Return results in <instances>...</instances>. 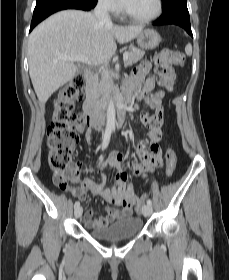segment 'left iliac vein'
Masks as SVG:
<instances>
[{
  "instance_id": "obj_1",
  "label": "left iliac vein",
  "mask_w": 229,
  "mask_h": 280,
  "mask_svg": "<svg viewBox=\"0 0 229 280\" xmlns=\"http://www.w3.org/2000/svg\"><path fill=\"white\" fill-rule=\"evenodd\" d=\"M152 213V206L151 205H144L143 208H142V214L145 216V217H148L150 216Z\"/></svg>"
}]
</instances>
